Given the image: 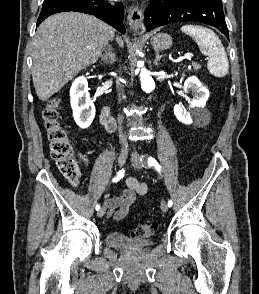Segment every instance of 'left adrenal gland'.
Instances as JSON below:
<instances>
[{"label":"left adrenal gland","instance_id":"1","mask_svg":"<svg viewBox=\"0 0 259 294\" xmlns=\"http://www.w3.org/2000/svg\"><path fill=\"white\" fill-rule=\"evenodd\" d=\"M162 57H165V55H160L159 52L157 51V52H156V58H155V61H154L153 64H154L155 66L158 67V62L160 61V59H161Z\"/></svg>","mask_w":259,"mask_h":294}]
</instances>
